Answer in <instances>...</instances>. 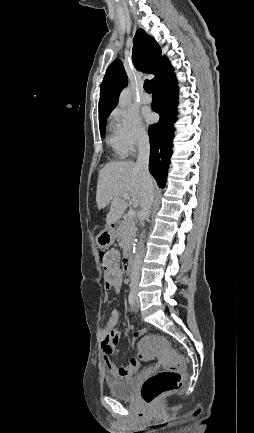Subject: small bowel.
<instances>
[{
  "mask_svg": "<svg viewBox=\"0 0 254 433\" xmlns=\"http://www.w3.org/2000/svg\"><path fill=\"white\" fill-rule=\"evenodd\" d=\"M105 289L115 288L120 290L122 286V277H109L106 275L104 282ZM119 320V312L117 310H112L109 314L108 320L102 328L103 339L101 343V348L104 353V363L106 369L111 376V378L116 380H128L132 378L140 368V361L136 357H132L125 367L116 366L112 360L111 355L115 352L116 346L122 335L128 334L129 330H120L117 328V323ZM143 335V331H135L133 333L132 340H135ZM131 346V345H130Z\"/></svg>",
  "mask_w": 254,
  "mask_h": 433,
  "instance_id": "obj_1",
  "label": "small bowel"
}]
</instances>
